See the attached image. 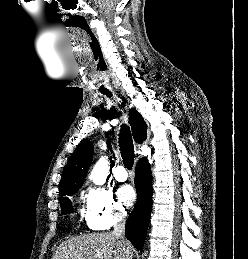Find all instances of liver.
Instances as JSON below:
<instances>
[{"label":"liver","instance_id":"6515ba94","mask_svg":"<svg viewBox=\"0 0 248 259\" xmlns=\"http://www.w3.org/2000/svg\"><path fill=\"white\" fill-rule=\"evenodd\" d=\"M132 246L112 233L88 234L63 242L52 259H131Z\"/></svg>","mask_w":248,"mask_h":259}]
</instances>
